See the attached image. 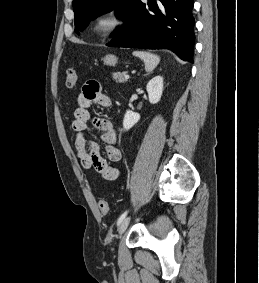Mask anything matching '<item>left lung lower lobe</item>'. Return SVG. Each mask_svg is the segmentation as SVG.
Segmentation results:
<instances>
[{"instance_id":"0a47b994","label":"left lung lower lobe","mask_w":259,"mask_h":283,"mask_svg":"<svg viewBox=\"0 0 259 283\" xmlns=\"http://www.w3.org/2000/svg\"><path fill=\"white\" fill-rule=\"evenodd\" d=\"M193 0H136L126 25L107 44L109 47L170 49L193 63Z\"/></svg>"}]
</instances>
